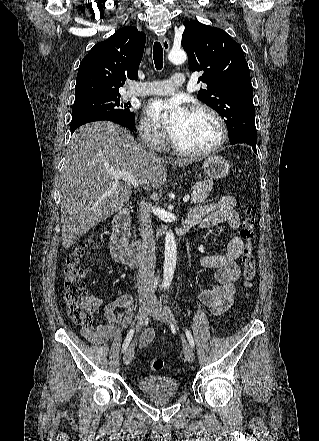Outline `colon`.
Returning <instances> with one entry per match:
<instances>
[{
	"label": "colon",
	"instance_id": "colon-1",
	"mask_svg": "<svg viewBox=\"0 0 319 441\" xmlns=\"http://www.w3.org/2000/svg\"><path fill=\"white\" fill-rule=\"evenodd\" d=\"M255 218L252 215V208L247 206L244 209L241 223V236L245 241L242 253L243 264V285L250 289L256 277L255 257L253 254ZM90 241L83 243L80 247L71 252L64 267V302L68 316L71 320L82 327H92L95 305L90 299L83 278V258L88 249ZM152 371H159L163 368L161 358H152L148 362Z\"/></svg>",
	"mask_w": 319,
	"mask_h": 441
}]
</instances>
